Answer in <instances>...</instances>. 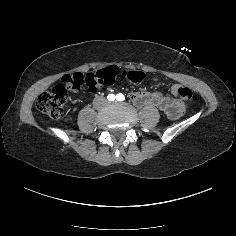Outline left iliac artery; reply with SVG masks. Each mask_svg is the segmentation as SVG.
Instances as JSON below:
<instances>
[{
    "mask_svg": "<svg viewBox=\"0 0 236 236\" xmlns=\"http://www.w3.org/2000/svg\"><path fill=\"white\" fill-rule=\"evenodd\" d=\"M116 99H117V101H123V100H125V97L122 93H119V94H117Z\"/></svg>",
    "mask_w": 236,
    "mask_h": 236,
    "instance_id": "left-iliac-artery-1",
    "label": "left iliac artery"
}]
</instances>
